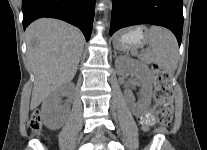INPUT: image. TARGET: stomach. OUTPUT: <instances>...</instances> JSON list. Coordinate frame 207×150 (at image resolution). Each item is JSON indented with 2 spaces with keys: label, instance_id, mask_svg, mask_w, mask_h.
<instances>
[{
  "label": "stomach",
  "instance_id": "stomach-1",
  "mask_svg": "<svg viewBox=\"0 0 207 150\" xmlns=\"http://www.w3.org/2000/svg\"><path fill=\"white\" fill-rule=\"evenodd\" d=\"M146 39L143 27L127 29L116 35L114 40L115 48L120 51H127L140 46Z\"/></svg>",
  "mask_w": 207,
  "mask_h": 150
}]
</instances>
